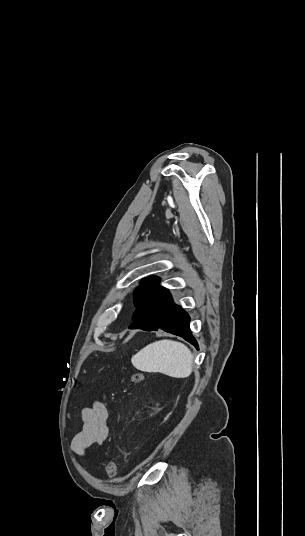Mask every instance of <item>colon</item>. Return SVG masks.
I'll return each instance as SVG.
<instances>
[{
    "instance_id": "1",
    "label": "colon",
    "mask_w": 305,
    "mask_h": 536,
    "mask_svg": "<svg viewBox=\"0 0 305 536\" xmlns=\"http://www.w3.org/2000/svg\"><path fill=\"white\" fill-rule=\"evenodd\" d=\"M144 377L141 372H134L130 381L132 384H140L143 381ZM107 474L110 478H115L117 475V463L114 459H110L107 465Z\"/></svg>"
}]
</instances>
